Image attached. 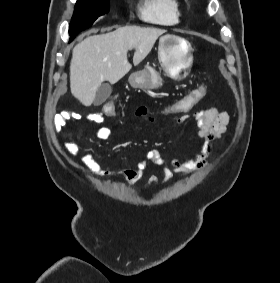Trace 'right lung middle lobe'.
I'll use <instances>...</instances> for the list:
<instances>
[{
  "instance_id": "right-lung-middle-lobe-1",
  "label": "right lung middle lobe",
  "mask_w": 280,
  "mask_h": 283,
  "mask_svg": "<svg viewBox=\"0 0 280 283\" xmlns=\"http://www.w3.org/2000/svg\"><path fill=\"white\" fill-rule=\"evenodd\" d=\"M110 0H78L69 25L70 41L75 36L89 28L95 20L109 10Z\"/></svg>"
}]
</instances>
